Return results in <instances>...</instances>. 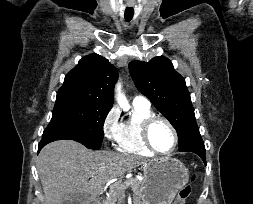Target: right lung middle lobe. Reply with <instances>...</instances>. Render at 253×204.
Masks as SVG:
<instances>
[{"label": "right lung middle lobe", "instance_id": "right-lung-middle-lobe-1", "mask_svg": "<svg viewBox=\"0 0 253 204\" xmlns=\"http://www.w3.org/2000/svg\"><path fill=\"white\" fill-rule=\"evenodd\" d=\"M110 109L78 94L58 91L52 119L42 139H71L87 148L99 149L104 136V120Z\"/></svg>", "mask_w": 253, "mask_h": 204}]
</instances>
